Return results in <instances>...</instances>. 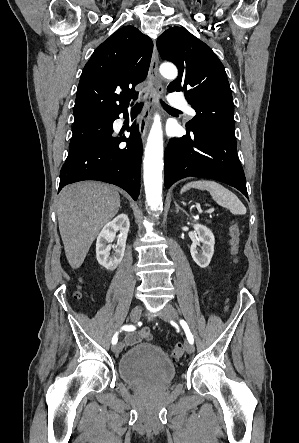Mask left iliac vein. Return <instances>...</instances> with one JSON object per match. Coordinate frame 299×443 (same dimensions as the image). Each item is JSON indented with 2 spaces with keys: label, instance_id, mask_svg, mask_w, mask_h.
Listing matches in <instances>:
<instances>
[{
  "label": "left iliac vein",
  "instance_id": "left-iliac-vein-1",
  "mask_svg": "<svg viewBox=\"0 0 299 443\" xmlns=\"http://www.w3.org/2000/svg\"><path fill=\"white\" fill-rule=\"evenodd\" d=\"M161 318L165 321H173L178 318L176 309L171 304H166L160 313ZM185 350L187 353L192 354L194 352V346L190 342L185 343Z\"/></svg>",
  "mask_w": 299,
  "mask_h": 443
}]
</instances>
